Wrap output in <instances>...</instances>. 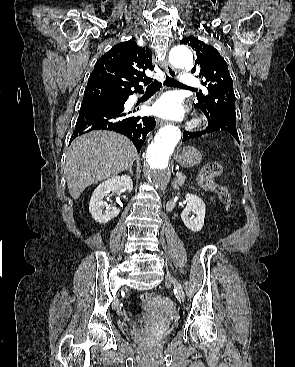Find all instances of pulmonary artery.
Here are the masks:
<instances>
[{
    "instance_id": "pulmonary-artery-1",
    "label": "pulmonary artery",
    "mask_w": 295,
    "mask_h": 367,
    "mask_svg": "<svg viewBox=\"0 0 295 367\" xmlns=\"http://www.w3.org/2000/svg\"><path fill=\"white\" fill-rule=\"evenodd\" d=\"M181 82L183 83V85L189 88H196L200 86L198 78L190 73L183 74L181 77Z\"/></svg>"
}]
</instances>
